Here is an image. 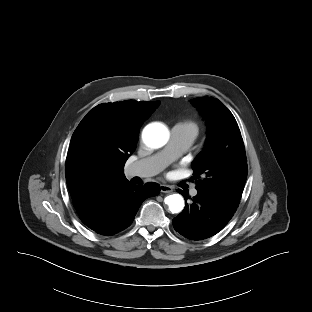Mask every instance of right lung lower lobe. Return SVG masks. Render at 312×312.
<instances>
[{
    "label": "right lung lower lobe",
    "instance_id": "right-lung-lower-lobe-1",
    "mask_svg": "<svg viewBox=\"0 0 312 312\" xmlns=\"http://www.w3.org/2000/svg\"><path fill=\"white\" fill-rule=\"evenodd\" d=\"M159 192L157 183H147L144 186L126 183L93 218L83 223L98 234H116L130 226L146 198L156 196Z\"/></svg>",
    "mask_w": 312,
    "mask_h": 312
}]
</instances>
